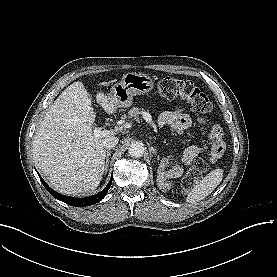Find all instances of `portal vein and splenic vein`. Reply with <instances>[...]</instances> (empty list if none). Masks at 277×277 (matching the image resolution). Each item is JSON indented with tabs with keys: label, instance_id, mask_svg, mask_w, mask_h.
<instances>
[{
	"label": "portal vein and splenic vein",
	"instance_id": "1",
	"mask_svg": "<svg viewBox=\"0 0 277 277\" xmlns=\"http://www.w3.org/2000/svg\"><path fill=\"white\" fill-rule=\"evenodd\" d=\"M143 118L145 119L146 122L150 123V124H153V121H152V116L147 113V112H144L143 114ZM130 126V124H126V127L128 128ZM109 134V131L108 130H102V128L100 127H96L94 130H93V135L95 138H102V137H106L108 136Z\"/></svg>",
	"mask_w": 277,
	"mask_h": 277
}]
</instances>
